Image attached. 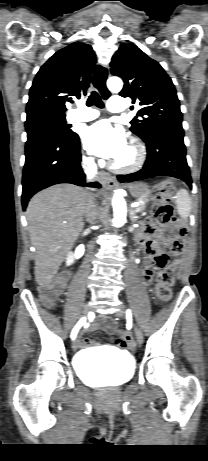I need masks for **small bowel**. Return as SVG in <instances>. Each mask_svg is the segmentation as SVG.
<instances>
[{
  "label": "small bowel",
  "mask_w": 208,
  "mask_h": 461,
  "mask_svg": "<svg viewBox=\"0 0 208 461\" xmlns=\"http://www.w3.org/2000/svg\"><path fill=\"white\" fill-rule=\"evenodd\" d=\"M183 234V229H177V225H156L151 219L145 221L143 231L137 235V241L148 254L146 265L142 271V276L146 284L151 282L154 270L157 268L154 263L155 257L164 254L163 249L170 246L172 242H178ZM59 279L66 280L67 274H61ZM98 328L113 333L114 323L111 319H103L88 326V330ZM129 341L130 338L128 339ZM99 344V339L85 338L81 342L79 341V345L82 348ZM108 344L114 354H122L124 352V347L120 346V339L117 336H110Z\"/></svg>",
  "instance_id": "c3829d8e"
}]
</instances>
